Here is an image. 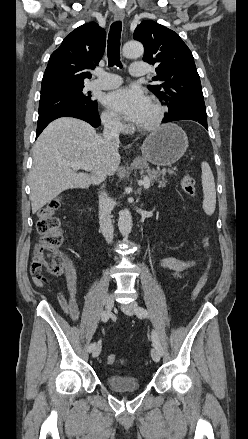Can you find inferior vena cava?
<instances>
[{
	"label": "inferior vena cava",
	"mask_w": 248,
	"mask_h": 439,
	"mask_svg": "<svg viewBox=\"0 0 248 439\" xmlns=\"http://www.w3.org/2000/svg\"><path fill=\"white\" fill-rule=\"evenodd\" d=\"M103 137L107 142L119 143L120 122L116 117H106L103 119ZM100 179L97 184L104 181ZM104 185L99 191V223L101 232L108 243H111L114 236V228L111 221L112 203L107 192L103 190Z\"/></svg>",
	"instance_id": "inferior-vena-cava-1"
}]
</instances>
